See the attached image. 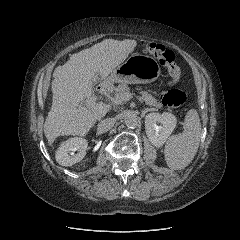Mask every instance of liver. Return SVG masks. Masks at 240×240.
<instances>
[{"label": "liver", "mask_w": 240, "mask_h": 240, "mask_svg": "<svg viewBox=\"0 0 240 240\" xmlns=\"http://www.w3.org/2000/svg\"><path fill=\"white\" fill-rule=\"evenodd\" d=\"M136 45L135 40L106 39L73 54L63 66L54 70L52 106L44 124L49 145L58 136L86 135L96 121L110 111L111 106L102 102L85 105L82 110L79 106L92 96L94 84L108 77Z\"/></svg>", "instance_id": "6515ba94"}]
</instances>
